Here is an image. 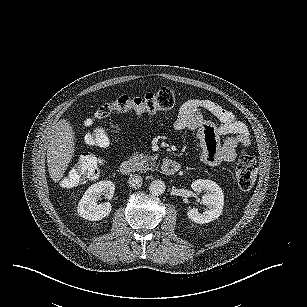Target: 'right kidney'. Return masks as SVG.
<instances>
[{
    "instance_id": "ca27d5eb",
    "label": "right kidney",
    "mask_w": 307,
    "mask_h": 307,
    "mask_svg": "<svg viewBox=\"0 0 307 307\" xmlns=\"http://www.w3.org/2000/svg\"><path fill=\"white\" fill-rule=\"evenodd\" d=\"M101 194H105L107 200H112L115 194L114 183L104 180L88 187L78 203L77 212L80 217L96 221L110 214L112 205L109 201L97 203V197Z\"/></svg>"
}]
</instances>
